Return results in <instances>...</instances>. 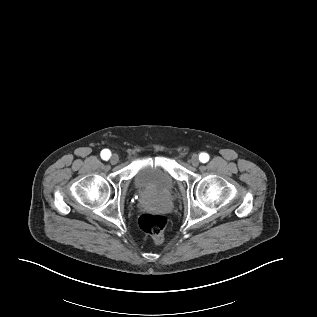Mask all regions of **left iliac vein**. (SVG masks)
I'll return each mask as SVG.
<instances>
[{
	"label": "left iliac vein",
	"mask_w": 317,
	"mask_h": 317,
	"mask_svg": "<svg viewBox=\"0 0 317 317\" xmlns=\"http://www.w3.org/2000/svg\"><path fill=\"white\" fill-rule=\"evenodd\" d=\"M190 163L197 167L199 165V158H198V155L197 154H193L190 158Z\"/></svg>",
	"instance_id": "obj_1"
}]
</instances>
